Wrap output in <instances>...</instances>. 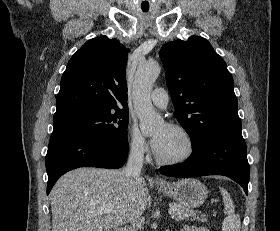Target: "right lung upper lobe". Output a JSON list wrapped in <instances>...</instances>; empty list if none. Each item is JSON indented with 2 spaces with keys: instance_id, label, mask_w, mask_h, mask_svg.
<instances>
[{
  "instance_id": "obj_1",
  "label": "right lung upper lobe",
  "mask_w": 280,
  "mask_h": 231,
  "mask_svg": "<svg viewBox=\"0 0 280 231\" xmlns=\"http://www.w3.org/2000/svg\"><path fill=\"white\" fill-rule=\"evenodd\" d=\"M126 63L127 49L118 40L102 36L87 41L62 75L53 122L128 111Z\"/></svg>"
}]
</instances>
